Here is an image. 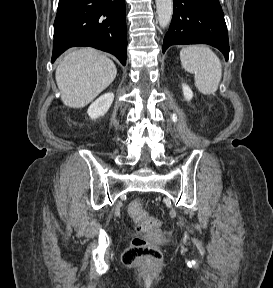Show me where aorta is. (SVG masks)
<instances>
[{
  "label": "aorta",
  "instance_id": "aorta-1",
  "mask_svg": "<svg viewBox=\"0 0 273 288\" xmlns=\"http://www.w3.org/2000/svg\"><path fill=\"white\" fill-rule=\"evenodd\" d=\"M157 19L160 27L166 28L173 14V0H155Z\"/></svg>",
  "mask_w": 273,
  "mask_h": 288
}]
</instances>
